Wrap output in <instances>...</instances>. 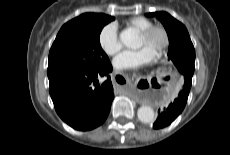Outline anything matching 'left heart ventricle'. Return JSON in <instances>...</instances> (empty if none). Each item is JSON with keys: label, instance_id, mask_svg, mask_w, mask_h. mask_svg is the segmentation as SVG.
I'll return each mask as SVG.
<instances>
[{"label": "left heart ventricle", "instance_id": "left-heart-ventricle-1", "mask_svg": "<svg viewBox=\"0 0 230 155\" xmlns=\"http://www.w3.org/2000/svg\"><path fill=\"white\" fill-rule=\"evenodd\" d=\"M163 37L160 33H155L149 39H144L142 36H139L138 47L147 46L149 47L154 54L157 53L160 46L162 45Z\"/></svg>", "mask_w": 230, "mask_h": 155}]
</instances>
